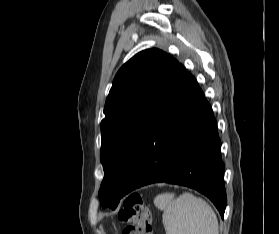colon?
<instances>
[{"label":"colon","mask_w":279,"mask_h":234,"mask_svg":"<svg viewBox=\"0 0 279 234\" xmlns=\"http://www.w3.org/2000/svg\"><path fill=\"white\" fill-rule=\"evenodd\" d=\"M122 234H152L150 212L140 195L128 196L119 213Z\"/></svg>","instance_id":"5ec220e1"}]
</instances>
